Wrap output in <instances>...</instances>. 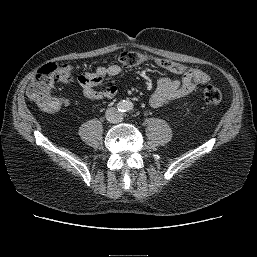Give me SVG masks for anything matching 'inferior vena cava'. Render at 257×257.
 Listing matches in <instances>:
<instances>
[{"mask_svg":"<svg viewBox=\"0 0 257 257\" xmlns=\"http://www.w3.org/2000/svg\"><path fill=\"white\" fill-rule=\"evenodd\" d=\"M106 119L110 123H119L123 120V115L117 108L111 107L105 112Z\"/></svg>","mask_w":257,"mask_h":257,"instance_id":"inferior-vena-cava-1","label":"inferior vena cava"}]
</instances>
